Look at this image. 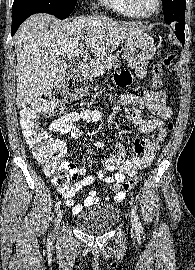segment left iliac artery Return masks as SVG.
Segmentation results:
<instances>
[{
  "mask_svg": "<svg viewBox=\"0 0 195 270\" xmlns=\"http://www.w3.org/2000/svg\"><path fill=\"white\" fill-rule=\"evenodd\" d=\"M132 215H133V219H134V221L136 223V229L139 230V228H141L140 221H139V216L136 213V210L134 208H132Z\"/></svg>",
  "mask_w": 195,
  "mask_h": 270,
  "instance_id": "obj_1",
  "label": "left iliac artery"
}]
</instances>
